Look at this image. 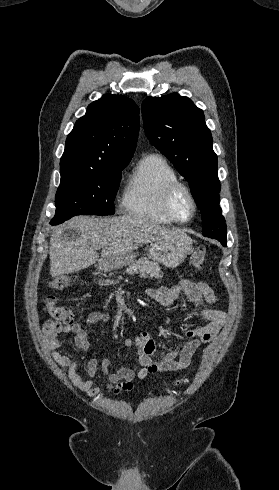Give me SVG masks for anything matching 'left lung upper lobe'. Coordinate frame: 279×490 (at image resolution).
I'll return each mask as SVG.
<instances>
[{"mask_svg":"<svg viewBox=\"0 0 279 490\" xmlns=\"http://www.w3.org/2000/svg\"><path fill=\"white\" fill-rule=\"evenodd\" d=\"M144 129L160 150L190 183L201 211L202 235L226 245L227 227L219 205L217 155L203 111L177 93L147 97L142 103Z\"/></svg>","mask_w":279,"mask_h":490,"instance_id":"1","label":"left lung upper lobe"}]
</instances>
